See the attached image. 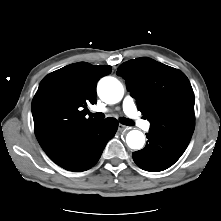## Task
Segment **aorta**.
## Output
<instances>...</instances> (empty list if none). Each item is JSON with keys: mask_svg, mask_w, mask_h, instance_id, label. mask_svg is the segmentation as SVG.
<instances>
[{"mask_svg": "<svg viewBox=\"0 0 221 221\" xmlns=\"http://www.w3.org/2000/svg\"><path fill=\"white\" fill-rule=\"evenodd\" d=\"M98 95L104 102L115 104L124 95L123 85L114 77H103L98 83ZM126 143L131 149H141L145 143L144 134L138 130H131L126 136Z\"/></svg>", "mask_w": 221, "mask_h": 221, "instance_id": "obj_1", "label": "aorta"}]
</instances>
